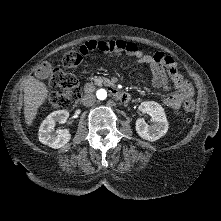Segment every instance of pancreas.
<instances>
[{
  "mask_svg": "<svg viewBox=\"0 0 221 221\" xmlns=\"http://www.w3.org/2000/svg\"><path fill=\"white\" fill-rule=\"evenodd\" d=\"M94 83L95 85L101 86V85H108L110 81L105 77H95Z\"/></svg>",
  "mask_w": 221,
  "mask_h": 221,
  "instance_id": "obj_1",
  "label": "pancreas"
}]
</instances>
